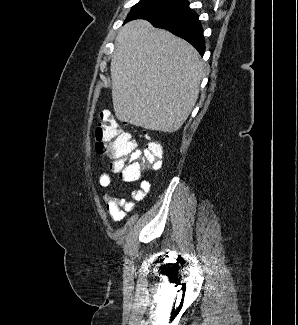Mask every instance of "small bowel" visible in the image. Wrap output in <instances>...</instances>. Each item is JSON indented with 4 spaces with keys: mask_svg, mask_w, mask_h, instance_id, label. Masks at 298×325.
I'll use <instances>...</instances> for the list:
<instances>
[{
    "mask_svg": "<svg viewBox=\"0 0 298 325\" xmlns=\"http://www.w3.org/2000/svg\"><path fill=\"white\" fill-rule=\"evenodd\" d=\"M112 179L107 172H102L99 175V184L102 188H109ZM151 188V183L148 180H141L139 187L132 192V200H127L114 193H105L104 201L106 210L112 219L116 222L123 221L127 214L135 209V202L142 201L146 198Z\"/></svg>",
    "mask_w": 298,
    "mask_h": 325,
    "instance_id": "small-bowel-1",
    "label": "small bowel"
}]
</instances>
